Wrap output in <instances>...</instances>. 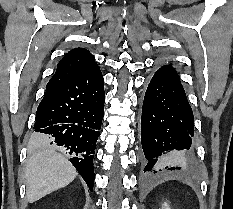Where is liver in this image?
Masks as SVG:
<instances>
[{"label": "liver", "instance_id": "6515ba94", "mask_svg": "<svg viewBox=\"0 0 233 209\" xmlns=\"http://www.w3.org/2000/svg\"><path fill=\"white\" fill-rule=\"evenodd\" d=\"M42 139L41 134H36ZM76 169L61 154L48 147L41 148L29 158L25 169L26 197L29 203L70 184Z\"/></svg>", "mask_w": 233, "mask_h": 209}]
</instances>
